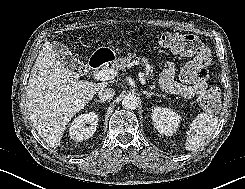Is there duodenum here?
<instances>
[{
    "label": "duodenum",
    "instance_id": "1",
    "mask_svg": "<svg viewBox=\"0 0 245 189\" xmlns=\"http://www.w3.org/2000/svg\"><path fill=\"white\" fill-rule=\"evenodd\" d=\"M113 58V54L108 50H99L94 53L89 61V65L92 69H99L104 64L111 61Z\"/></svg>",
    "mask_w": 245,
    "mask_h": 189
}]
</instances>
